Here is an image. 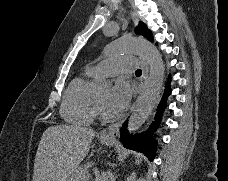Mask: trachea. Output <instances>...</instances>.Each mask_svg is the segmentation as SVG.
<instances>
[{
  "label": "trachea",
  "mask_w": 228,
  "mask_h": 181,
  "mask_svg": "<svg viewBox=\"0 0 228 181\" xmlns=\"http://www.w3.org/2000/svg\"><path fill=\"white\" fill-rule=\"evenodd\" d=\"M142 71L140 69L136 70L135 74H140L141 75Z\"/></svg>",
  "instance_id": "trachea-1"
}]
</instances>
